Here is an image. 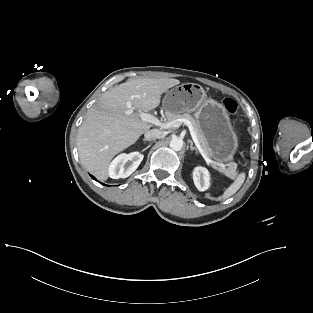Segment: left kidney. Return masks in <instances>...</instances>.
I'll return each instance as SVG.
<instances>
[{
	"label": "left kidney",
	"mask_w": 313,
	"mask_h": 313,
	"mask_svg": "<svg viewBox=\"0 0 313 313\" xmlns=\"http://www.w3.org/2000/svg\"><path fill=\"white\" fill-rule=\"evenodd\" d=\"M193 181L199 191H206L210 186L208 170L204 167H196L193 171Z\"/></svg>",
	"instance_id": "obj_1"
}]
</instances>
